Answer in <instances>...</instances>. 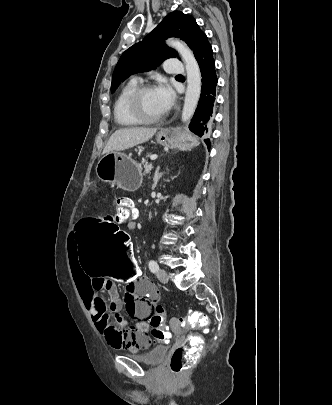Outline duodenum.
<instances>
[{"label":"duodenum","mask_w":332,"mask_h":405,"mask_svg":"<svg viewBox=\"0 0 332 405\" xmlns=\"http://www.w3.org/2000/svg\"><path fill=\"white\" fill-rule=\"evenodd\" d=\"M138 215H133L129 220L130 229H135L137 226Z\"/></svg>","instance_id":"obj_1"}]
</instances>
